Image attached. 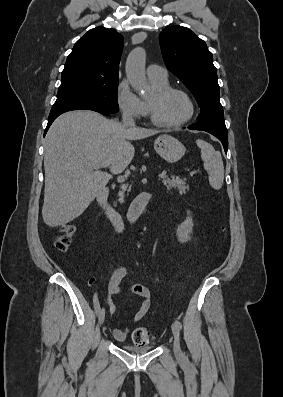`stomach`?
I'll list each match as a JSON object with an SVG mask.
<instances>
[{
	"mask_svg": "<svg viewBox=\"0 0 283 397\" xmlns=\"http://www.w3.org/2000/svg\"><path fill=\"white\" fill-rule=\"evenodd\" d=\"M154 149L167 162L175 163L186 152L185 146L171 135H161L154 142Z\"/></svg>",
	"mask_w": 283,
	"mask_h": 397,
	"instance_id": "obj_1",
	"label": "stomach"
}]
</instances>
